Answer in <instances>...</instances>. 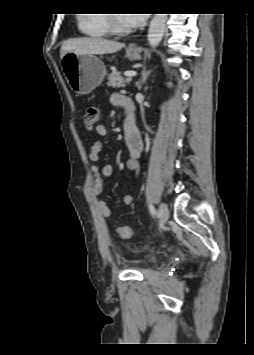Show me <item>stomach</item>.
I'll use <instances>...</instances> for the list:
<instances>
[{
	"label": "stomach",
	"instance_id": "stomach-1",
	"mask_svg": "<svg viewBox=\"0 0 254 355\" xmlns=\"http://www.w3.org/2000/svg\"><path fill=\"white\" fill-rule=\"evenodd\" d=\"M126 55L131 60L141 58L139 49L129 46ZM62 68L72 90L89 94L103 81L106 75L104 63L93 54L68 52L62 57Z\"/></svg>",
	"mask_w": 254,
	"mask_h": 355
}]
</instances>
